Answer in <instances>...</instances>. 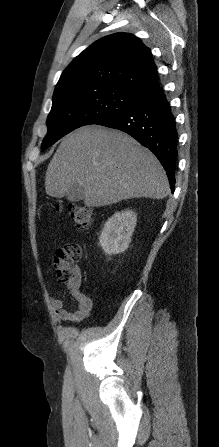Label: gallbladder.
Returning <instances> with one entry per match:
<instances>
[{"label":"gallbladder","mask_w":219,"mask_h":447,"mask_svg":"<svg viewBox=\"0 0 219 447\" xmlns=\"http://www.w3.org/2000/svg\"><path fill=\"white\" fill-rule=\"evenodd\" d=\"M67 200L71 202H79L84 198V190L82 187L75 185L66 194Z\"/></svg>","instance_id":"obj_1"}]
</instances>
